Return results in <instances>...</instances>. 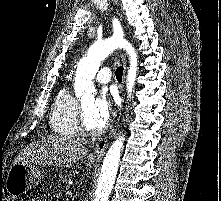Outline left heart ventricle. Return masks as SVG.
Segmentation results:
<instances>
[{"mask_svg": "<svg viewBox=\"0 0 221 201\" xmlns=\"http://www.w3.org/2000/svg\"><path fill=\"white\" fill-rule=\"evenodd\" d=\"M93 104H94V100L90 99V100L84 101L81 105L83 107L86 122H87L88 126L93 128V129H96V128L101 127L103 125V123H101L94 116V114H93Z\"/></svg>", "mask_w": 221, "mask_h": 201, "instance_id": "b2bd125f", "label": "left heart ventricle"}]
</instances>
